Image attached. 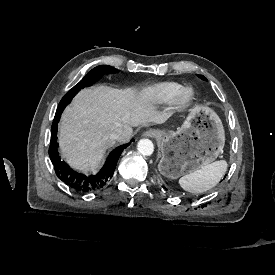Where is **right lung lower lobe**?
<instances>
[{"instance_id": "1", "label": "right lung lower lobe", "mask_w": 275, "mask_h": 275, "mask_svg": "<svg viewBox=\"0 0 275 275\" xmlns=\"http://www.w3.org/2000/svg\"><path fill=\"white\" fill-rule=\"evenodd\" d=\"M71 100L60 101L51 128V142L49 147V156L55 169V173L60 180L71 188L79 192H91L102 188L113 176L117 161L122 151L129 146L130 143L115 148L108 156L103 168L96 174L86 176L72 170L58 155L57 130L58 122L64 108Z\"/></svg>"}]
</instances>
